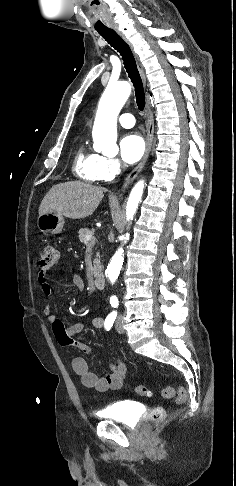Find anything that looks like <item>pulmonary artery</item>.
Masks as SVG:
<instances>
[{
	"instance_id": "pulmonary-artery-1",
	"label": "pulmonary artery",
	"mask_w": 236,
	"mask_h": 486,
	"mask_svg": "<svg viewBox=\"0 0 236 486\" xmlns=\"http://www.w3.org/2000/svg\"><path fill=\"white\" fill-rule=\"evenodd\" d=\"M118 121L124 128H132L135 124L134 116L130 113L121 114Z\"/></svg>"
}]
</instances>
